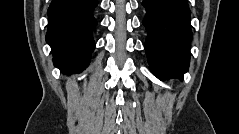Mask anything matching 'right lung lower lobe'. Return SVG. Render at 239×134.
I'll use <instances>...</instances> for the list:
<instances>
[{
	"label": "right lung lower lobe",
	"instance_id": "obj_1",
	"mask_svg": "<svg viewBox=\"0 0 239 134\" xmlns=\"http://www.w3.org/2000/svg\"><path fill=\"white\" fill-rule=\"evenodd\" d=\"M97 5V0H52L46 41L61 72L80 73L88 66L95 47L93 11Z\"/></svg>",
	"mask_w": 239,
	"mask_h": 134
}]
</instances>
